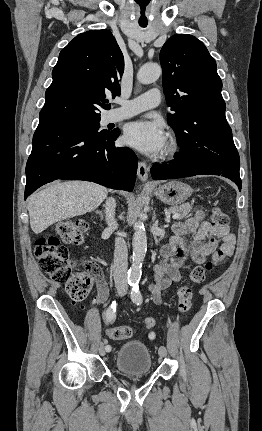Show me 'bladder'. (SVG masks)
Returning a JSON list of instances; mask_svg holds the SVG:
<instances>
[{
    "instance_id": "1",
    "label": "bladder",
    "mask_w": 262,
    "mask_h": 431,
    "mask_svg": "<svg viewBox=\"0 0 262 431\" xmlns=\"http://www.w3.org/2000/svg\"><path fill=\"white\" fill-rule=\"evenodd\" d=\"M116 367L128 375L148 374L152 370V357L146 342L132 339L123 343L116 354Z\"/></svg>"
}]
</instances>
